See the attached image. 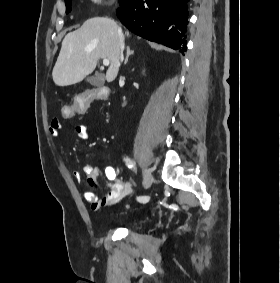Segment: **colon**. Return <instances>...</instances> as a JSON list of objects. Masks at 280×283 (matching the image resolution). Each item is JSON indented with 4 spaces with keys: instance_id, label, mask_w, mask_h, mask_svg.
I'll return each instance as SVG.
<instances>
[{
    "instance_id": "1",
    "label": "colon",
    "mask_w": 280,
    "mask_h": 283,
    "mask_svg": "<svg viewBox=\"0 0 280 283\" xmlns=\"http://www.w3.org/2000/svg\"><path fill=\"white\" fill-rule=\"evenodd\" d=\"M87 94H75L73 103L61 105V119H73L74 116H83V110L93 101V99H103L107 96L108 87L86 88ZM81 110V111H80Z\"/></svg>"
}]
</instances>
